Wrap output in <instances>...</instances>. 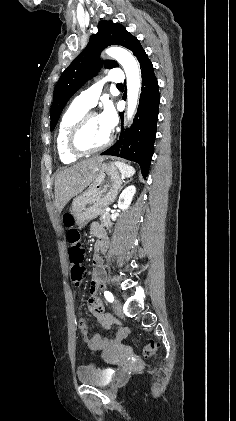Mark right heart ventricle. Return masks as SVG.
<instances>
[{
    "label": "right heart ventricle",
    "instance_id": "right-heart-ventricle-1",
    "mask_svg": "<svg viewBox=\"0 0 236 421\" xmlns=\"http://www.w3.org/2000/svg\"><path fill=\"white\" fill-rule=\"evenodd\" d=\"M86 111L87 109L73 102L60 119L56 136V149L60 161L64 164H72L79 158L69 151L66 137L72 124Z\"/></svg>",
    "mask_w": 236,
    "mask_h": 421
}]
</instances>
